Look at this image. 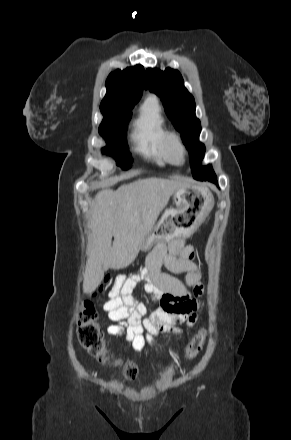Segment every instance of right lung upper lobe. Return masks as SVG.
I'll use <instances>...</instances> for the list:
<instances>
[{
	"mask_svg": "<svg viewBox=\"0 0 291 440\" xmlns=\"http://www.w3.org/2000/svg\"><path fill=\"white\" fill-rule=\"evenodd\" d=\"M144 68L141 65L116 70L106 80L107 93L100 109H129L140 100L143 91Z\"/></svg>",
	"mask_w": 291,
	"mask_h": 440,
	"instance_id": "right-lung-upper-lobe-1",
	"label": "right lung upper lobe"
}]
</instances>
